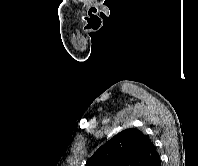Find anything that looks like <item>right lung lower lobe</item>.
<instances>
[{"label":"right lung lower lobe","instance_id":"98d812e1","mask_svg":"<svg viewBox=\"0 0 198 166\" xmlns=\"http://www.w3.org/2000/svg\"><path fill=\"white\" fill-rule=\"evenodd\" d=\"M150 166H161L160 157L158 156L155 160H153Z\"/></svg>","mask_w":198,"mask_h":166}]
</instances>
